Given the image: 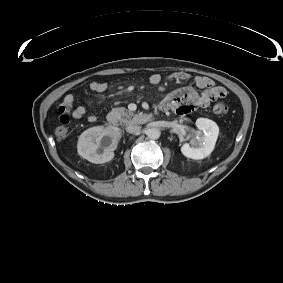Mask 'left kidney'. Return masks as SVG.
<instances>
[{
    "mask_svg": "<svg viewBox=\"0 0 283 283\" xmlns=\"http://www.w3.org/2000/svg\"><path fill=\"white\" fill-rule=\"evenodd\" d=\"M196 127L203 131V134H198L195 139L197 147H191L188 143L181 146V152L187 158L199 160L208 157L214 150L218 134V125L207 118H198Z\"/></svg>",
    "mask_w": 283,
    "mask_h": 283,
    "instance_id": "obj_1",
    "label": "left kidney"
}]
</instances>
